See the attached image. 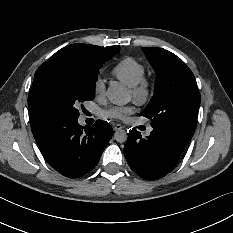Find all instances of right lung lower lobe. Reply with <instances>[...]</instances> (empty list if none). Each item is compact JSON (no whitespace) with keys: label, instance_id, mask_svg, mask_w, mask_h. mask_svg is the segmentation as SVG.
<instances>
[{"label":"right lung lower lobe","instance_id":"1","mask_svg":"<svg viewBox=\"0 0 233 233\" xmlns=\"http://www.w3.org/2000/svg\"><path fill=\"white\" fill-rule=\"evenodd\" d=\"M31 127L47 162L69 178L91 171L113 134L110 124L102 120L91 127L79 125L78 118L45 121Z\"/></svg>","mask_w":233,"mask_h":233}]
</instances>
